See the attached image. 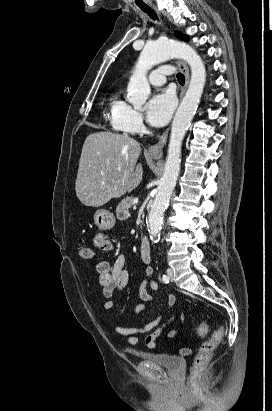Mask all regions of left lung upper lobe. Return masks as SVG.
I'll return each instance as SVG.
<instances>
[{
    "label": "left lung upper lobe",
    "instance_id": "5c2ea615",
    "mask_svg": "<svg viewBox=\"0 0 272 411\" xmlns=\"http://www.w3.org/2000/svg\"><path fill=\"white\" fill-rule=\"evenodd\" d=\"M175 36H176L177 38H181V39H183V40H188V37H187V36H185L184 34L178 32V31H175Z\"/></svg>",
    "mask_w": 272,
    "mask_h": 411
}]
</instances>
